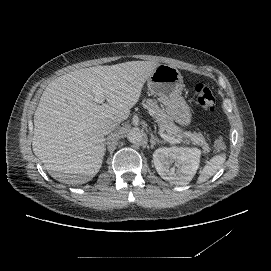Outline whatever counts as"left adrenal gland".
I'll return each mask as SVG.
<instances>
[{"label":"left adrenal gland","mask_w":271,"mask_h":271,"mask_svg":"<svg viewBox=\"0 0 271 271\" xmlns=\"http://www.w3.org/2000/svg\"><path fill=\"white\" fill-rule=\"evenodd\" d=\"M150 135H151V139H150L151 148H153L156 143H158V144L162 143V141H160L158 138H156L152 133Z\"/></svg>","instance_id":"left-adrenal-gland-1"}]
</instances>
